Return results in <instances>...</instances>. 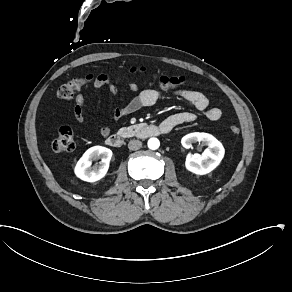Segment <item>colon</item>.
Returning a JSON list of instances; mask_svg holds the SVG:
<instances>
[{
  "label": "colon",
  "mask_w": 292,
  "mask_h": 292,
  "mask_svg": "<svg viewBox=\"0 0 292 292\" xmlns=\"http://www.w3.org/2000/svg\"><path fill=\"white\" fill-rule=\"evenodd\" d=\"M140 74H146L149 77L150 83L161 90L181 89L186 87L188 79L185 76L165 77L157 76L149 72L146 68L133 67L129 70L131 77H136ZM95 80L94 74H89L83 78L73 79L62 85L58 92L60 101L66 102L70 100L75 93L81 89L91 85ZM232 134L237 135L239 128L232 125L230 127ZM75 135L71 129L63 128L59 131L53 142V149L55 152L64 153L74 149Z\"/></svg>",
  "instance_id": "5ec220e1"
}]
</instances>
